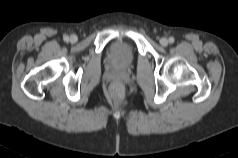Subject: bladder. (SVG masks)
Wrapping results in <instances>:
<instances>
[{"label":"bladder","mask_w":238,"mask_h":158,"mask_svg":"<svg viewBox=\"0 0 238 158\" xmlns=\"http://www.w3.org/2000/svg\"><path fill=\"white\" fill-rule=\"evenodd\" d=\"M135 53L132 46L125 41H115L109 50V61L116 67H127L132 64Z\"/></svg>","instance_id":"obj_1"}]
</instances>
